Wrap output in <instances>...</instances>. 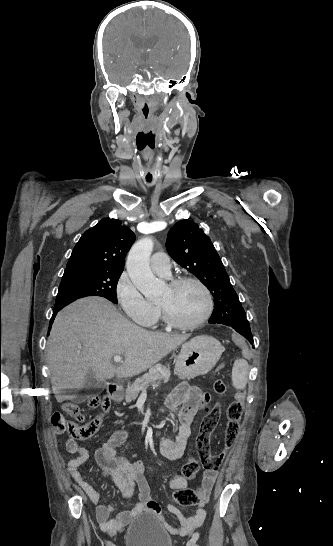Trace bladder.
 Masks as SVG:
<instances>
[{
  "label": "bladder",
  "instance_id": "31cf9c89",
  "mask_svg": "<svg viewBox=\"0 0 333 546\" xmlns=\"http://www.w3.org/2000/svg\"><path fill=\"white\" fill-rule=\"evenodd\" d=\"M127 546H173L172 539L163 524L152 514L137 516L126 534Z\"/></svg>",
  "mask_w": 333,
  "mask_h": 546
}]
</instances>
